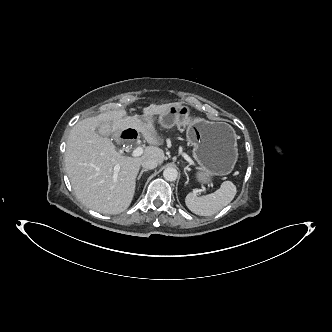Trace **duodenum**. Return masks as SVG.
<instances>
[{"instance_id":"410a0bca","label":"duodenum","mask_w":332,"mask_h":332,"mask_svg":"<svg viewBox=\"0 0 332 332\" xmlns=\"http://www.w3.org/2000/svg\"><path fill=\"white\" fill-rule=\"evenodd\" d=\"M136 136H137V132L132 128H128L121 133V137L126 141L134 140L136 138Z\"/></svg>"}]
</instances>
